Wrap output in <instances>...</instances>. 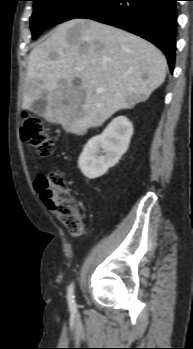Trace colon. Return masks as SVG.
<instances>
[{
	"label": "colon",
	"instance_id": "obj_1",
	"mask_svg": "<svg viewBox=\"0 0 193 349\" xmlns=\"http://www.w3.org/2000/svg\"><path fill=\"white\" fill-rule=\"evenodd\" d=\"M20 131L22 140L32 145L41 157H49L54 153V142L39 119L24 114ZM36 187L45 205L57 219L70 233L79 234L83 227L82 217L61 172L54 170L40 175Z\"/></svg>",
	"mask_w": 193,
	"mask_h": 349
}]
</instances>
